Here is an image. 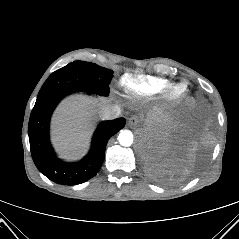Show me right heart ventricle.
Segmentation results:
<instances>
[{"label":"right heart ventricle","mask_w":239,"mask_h":239,"mask_svg":"<svg viewBox=\"0 0 239 239\" xmlns=\"http://www.w3.org/2000/svg\"><path fill=\"white\" fill-rule=\"evenodd\" d=\"M120 85L133 97H145L164 92L171 83L163 78L144 74H125Z\"/></svg>","instance_id":"obj_1"}]
</instances>
